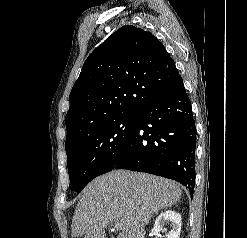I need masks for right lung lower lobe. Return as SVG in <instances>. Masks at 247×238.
Listing matches in <instances>:
<instances>
[{"instance_id": "obj_1", "label": "right lung lower lobe", "mask_w": 247, "mask_h": 238, "mask_svg": "<svg viewBox=\"0 0 247 238\" xmlns=\"http://www.w3.org/2000/svg\"><path fill=\"white\" fill-rule=\"evenodd\" d=\"M137 114L138 121L114 168L170 178L193 192L196 132L181 76L166 94Z\"/></svg>"}]
</instances>
